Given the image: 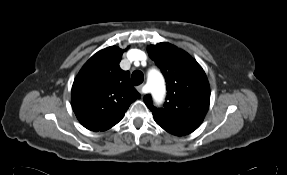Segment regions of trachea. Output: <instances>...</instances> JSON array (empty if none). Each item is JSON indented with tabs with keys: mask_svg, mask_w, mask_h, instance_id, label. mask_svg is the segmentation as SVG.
Returning <instances> with one entry per match:
<instances>
[{
	"mask_svg": "<svg viewBox=\"0 0 287 175\" xmlns=\"http://www.w3.org/2000/svg\"><path fill=\"white\" fill-rule=\"evenodd\" d=\"M134 85H140L144 80V75L141 71H134L131 76Z\"/></svg>",
	"mask_w": 287,
	"mask_h": 175,
	"instance_id": "obj_1",
	"label": "trachea"
}]
</instances>
